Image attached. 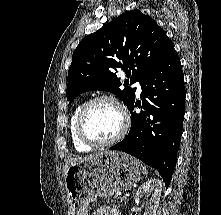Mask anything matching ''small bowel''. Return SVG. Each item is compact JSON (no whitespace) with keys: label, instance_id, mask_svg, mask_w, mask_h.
Returning <instances> with one entry per match:
<instances>
[{"label":"small bowel","instance_id":"small-bowel-1","mask_svg":"<svg viewBox=\"0 0 221 215\" xmlns=\"http://www.w3.org/2000/svg\"><path fill=\"white\" fill-rule=\"evenodd\" d=\"M93 215H121L117 209L111 207H102L97 209Z\"/></svg>","mask_w":221,"mask_h":215}]
</instances>
